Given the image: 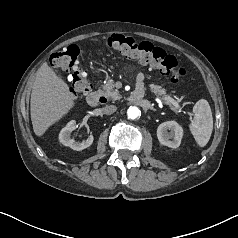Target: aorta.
<instances>
[{
    "mask_svg": "<svg viewBox=\"0 0 238 238\" xmlns=\"http://www.w3.org/2000/svg\"><path fill=\"white\" fill-rule=\"evenodd\" d=\"M140 115V110L136 106H130L127 110V116L130 119H135Z\"/></svg>",
    "mask_w": 238,
    "mask_h": 238,
    "instance_id": "aorta-1",
    "label": "aorta"
}]
</instances>
